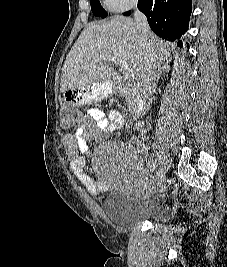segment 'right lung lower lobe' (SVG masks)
<instances>
[{
    "label": "right lung lower lobe",
    "instance_id": "98d812e1",
    "mask_svg": "<svg viewBox=\"0 0 227 267\" xmlns=\"http://www.w3.org/2000/svg\"><path fill=\"white\" fill-rule=\"evenodd\" d=\"M192 0H138V9L143 12L150 28L161 38L175 41L188 29ZM131 11L123 13L130 15ZM182 47V41H178Z\"/></svg>",
    "mask_w": 227,
    "mask_h": 267
}]
</instances>
